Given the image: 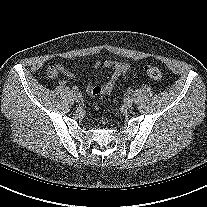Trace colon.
<instances>
[{
    "label": "colon",
    "mask_w": 207,
    "mask_h": 207,
    "mask_svg": "<svg viewBox=\"0 0 207 207\" xmlns=\"http://www.w3.org/2000/svg\"><path fill=\"white\" fill-rule=\"evenodd\" d=\"M146 74L153 80H160L162 78V71L156 66H147L145 68Z\"/></svg>",
    "instance_id": "5ec220e1"
}]
</instances>
